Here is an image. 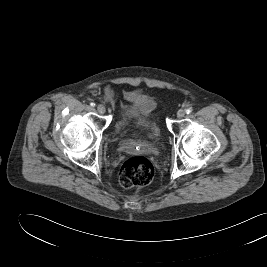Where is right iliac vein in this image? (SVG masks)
<instances>
[{
  "mask_svg": "<svg viewBox=\"0 0 267 267\" xmlns=\"http://www.w3.org/2000/svg\"><path fill=\"white\" fill-rule=\"evenodd\" d=\"M97 111H98L100 114H104L105 111H106V108H105L104 105L99 104V105L97 106Z\"/></svg>",
  "mask_w": 267,
  "mask_h": 267,
  "instance_id": "obj_1",
  "label": "right iliac vein"
}]
</instances>
